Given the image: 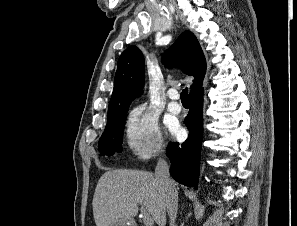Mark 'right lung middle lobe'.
Segmentation results:
<instances>
[{"label":"right lung middle lobe","mask_w":297,"mask_h":226,"mask_svg":"<svg viewBox=\"0 0 297 226\" xmlns=\"http://www.w3.org/2000/svg\"><path fill=\"white\" fill-rule=\"evenodd\" d=\"M129 106L108 109V121L104 133L99 140V151L102 155L121 152L124 121Z\"/></svg>","instance_id":"dd1d6c3e"}]
</instances>
